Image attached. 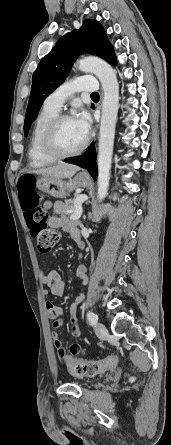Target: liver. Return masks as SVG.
Returning <instances> with one entry per match:
<instances>
[{"instance_id": "6515ba94", "label": "liver", "mask_w": 171, "mask_h": 445, "mask_svg": "<svg viewBox=\"0 0 171 445\" xmlns=\"http://www.w3.org/2000/svg\"><path fill=\"white\" fill-rule=\"evenodd\" d=\"M78 170L79 167L75 165L59 164L56 166L33 170L31 173L54 178H71Z\"/></svg>"}]
</instances>
